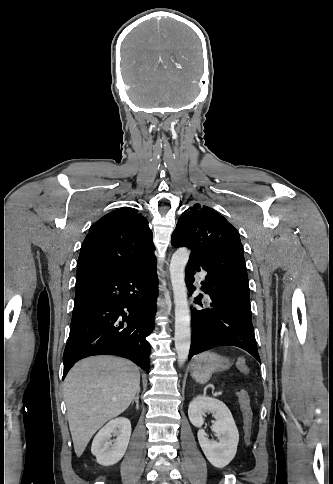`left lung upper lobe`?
I'll return each mask as SVG.
<instances>
[{
	"label": "left lung upper lobe",
	"instance_id": "obj_1",
	"mask_svg": "<svg viewBox=\"0 0 333 484\" xmlns=\"http://www.w3.org/2000/svg\"><path fill=\"white\" fill-rule=\"evenodd\" d=\"M177 241L196 252L216 243L234 241L243 251L237 230L222 215L200 204L184 211L179 218L171 237L172 245L176 246Z\"/></svg>",
	"mask_w": 333,
	"mask_h": 484
}]
</instances>
